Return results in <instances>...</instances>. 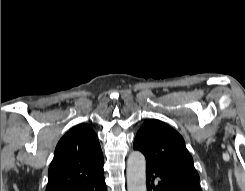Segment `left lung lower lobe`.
<instances>
[{"mask_svg":"<svg viewBox=\"0 0 245 191\" xmlns=\"http://www.w3.org/2000/svg\"><path fill=\"white\" fill-rule=\"evenodd\" d=\"M147 191H202L178 182L173 177L146 166ZM157 183V186L154 185Z\"/></svg>","mask_w":245,"mask_h":191,"instance_id":"obj_1","label":"left lung lower lobe"}]
</instances>
